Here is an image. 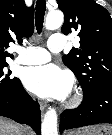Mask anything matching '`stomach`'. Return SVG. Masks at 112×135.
<instances>
[{
	"mask_svg": "<svg viewBox=\"0 0 112 135\" xmlns=\"http://www.w3.org/2000/svg\"><path fill=\"white\" fill-rule=\"evenodd\" d=\"M68 135H112V126L95 125L83 128L82 130L70 132Z\"/></svg>",
	"mask_w": 112,
	"mask_h": 135,
	"instance_id": "stomach-1",
	"label": "stomach"
}]
</instances>
